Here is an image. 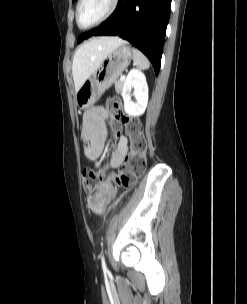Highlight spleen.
I'll return each instance as SVG.
<instances>
[{"instance_id":"3e777b00","label":"spleen","mask_w":247,"mask_h":304,"mask_svg":"<svg viewBox=\"0 0 247 304\" xmlns=\"http://www.w3.org/2000/svg\"><path fill=\"white\" fill-rule=\"evenodd\" d=\"M133 62L139 69L146 70L150 67L149 61L146 56L138 49L133 48Z\"/></svg>"}]
</instances>
